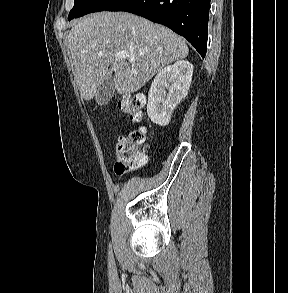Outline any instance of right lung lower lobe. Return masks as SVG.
Here are the masks:
<instances>
[{"mask_svg": "<svg viewBox=\"0 0 288 293\" xmlns=\"http://www.w3.org/2000/svg\"><path fill=\"white\" fill-rule=\"evenodd\" d=\"M210 0H118L106 11H126L163 24L185 37L204 58Z\"/></svg>", "mask_w": 288, "mask_h": 293, "instance_id": "right-lung-lower-lobe-1", "label": "right lung lower lobe"}]
</instances>
